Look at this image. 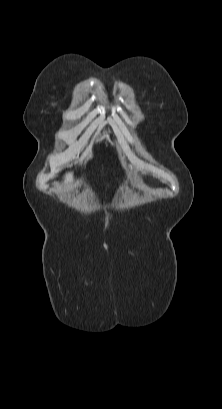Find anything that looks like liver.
Masks as SVG:
<instances>
[{
	"label": "liver",
	"instance_id": "1",
	"mask_svg": "<svg viewBox=\"0 0 222 409\" xmlns=\"http://www.w3.org/2000/svg\"><path fill=\"white\" fill-rule=\"evenodd\" d=\"M72 182H73V174L67 173L64 178V184L68 185V184H71Z\"/></svg>",
	"mask_w": 222,
	"mask_h": 409
}]
</instances>
